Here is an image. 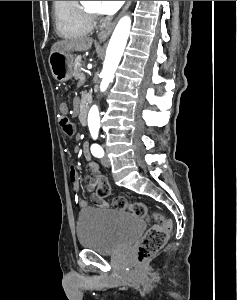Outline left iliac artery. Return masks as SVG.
Segmentation results:
<instances>
[{
	"label": "left iliac artery",
	"instance_id": "44dca946",
	"mask_svg": "<svg viewBox=\"0 0 237 300\" xmlns=\"http://www.w3.org/2000/svg\"><path fill=\"white\" fill-rule=\"evenodd\" d=\"M91 136L93 139H97L98 134L95 132H91ZM91 153L98 158H101L104 156V150L102 149L101 146H99L98 144H92L91 145Z\"/></svg>",
	"mask_w": 237,
	"mask_h": 300
}]
</instances>
